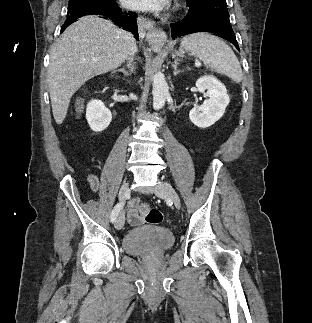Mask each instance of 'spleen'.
Returning a JSON list of instances; mask_svg holds the SVG:
<instances>
[{"instance_id": "1", "label": "spleen", "mask_w": 312, "mask_h": 323, "mask_svg": "<svg viewBox=\"0 0 312 323\" xmlns=\"http://www.w3.org/2000/svg\"><path fill=\"white\" fill-rule=\"evenodd\" d=\"M180 50H187L190 56L199 58L205 66L228 76L236 84L243 80L241 66L233 50L218 36H212L209 32L189 34L182 38Z\"/></svg>"}]
</instances>
